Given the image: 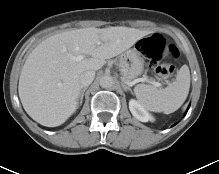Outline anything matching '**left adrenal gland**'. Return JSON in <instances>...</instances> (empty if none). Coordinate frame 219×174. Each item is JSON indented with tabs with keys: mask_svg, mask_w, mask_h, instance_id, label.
Masks as SVG:
<instances>
[{
	"mask_svg": "<svg viewBox=\"0 0 219 174\" xmlns=\"http://www.w3.org/2000/svg\"><path fill=\"white\" fill-rule=\"evenodd\" d=\"M123 88H124L125 91H131L132 92L131 88L128 87L125 83H123Z\"/></svg>",
	"mask_w": 219,
	"mask_h": 174,
	"instance_id": "a2214340",
	"label": "left adrenal gland"
}]
</instances>
